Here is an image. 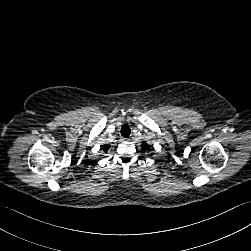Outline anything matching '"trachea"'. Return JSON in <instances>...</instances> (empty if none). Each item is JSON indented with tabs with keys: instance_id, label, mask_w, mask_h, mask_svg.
Masks as SVG:
<instances>
[{
	"instance_id": "obj_1",
	"label": "trachea",
	"mask_w": 251,
	"mask_h": 251,
	"mask_svg": "<svg viewBox=\"0 0 251 251\" xmlns=\"http://www.w3.org/2000/svg\"><path fill=\"white\" fill-rule=\"evenodd\" d=\"M131 134V129L128 124H124L121 128V135L123 137H129Z\"/></svg>"
}]
</instances>
